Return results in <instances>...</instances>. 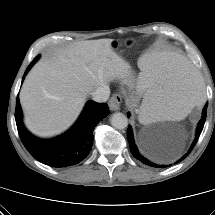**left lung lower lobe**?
I'll use <instances>...</instances> for the list:
<instances>
[{"label": "left lung lower lobe", "mask_w": 215, "mask_h": 215, "mask_svg": "<svg viewBox=\"0 0 215 215\" xmlns=\"http://www.w3.org/2000/svg\"><path fill=\"white\" fill-rule=\"evenodd\" d=\"M207 106H208V103H206V105L204 106V109H203V112H202V118L198 123L197 129H196V136H195V139H194L189 151L181 159H179L177 162H175L174 164H176V163L180 162L181 160L185 159L189 155V153L192 151V149L195 146V144L197 143L198 138H199V136H200V134L202 132L205 120H206ZM128 117H129V114H128ZM127 136H128V141H129V145H130V151H131L132 155L137 160L141 161L142 163H144V164H146L148 166H152V167H156V168H164V167L171 166V165H159V164H156V163L152 162L151 160L147 159L145 156H143L139 152V150H138V148H137V146L135 144L132 128H131L130 125L128 127Z\"/></svg>", "instance_id": "1"}]
</instances>
